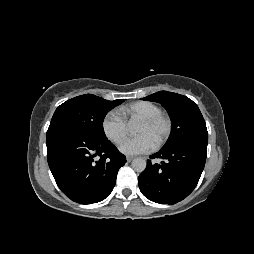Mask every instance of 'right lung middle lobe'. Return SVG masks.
<instances>
[{
  "label": "right lung middle lobe",
  "instance_id": "dd1d6c3e",
  "mask_svg": "<svg viewBox=\"0 0 254 254\" xmlns=\"http://www.w3.org/2000/svg\"><path fill=\"white\" fill-rule=\"evenodd\" d=\"M123 101H108L92 94L77 96L56 109L50 125L64 124L97 137H106L103 120L112 108Z\"/></svg>",
  "mask_w": 254,
  "mask_h": 254
}]
</instances>
